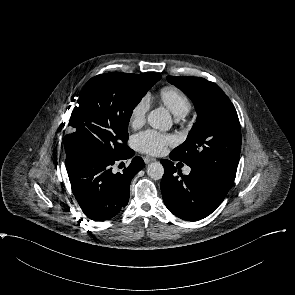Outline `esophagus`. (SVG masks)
I'll list each match as a JSON object with an SVG mask.
<instances>
[{
    "label": "esophagus",
    "mask_w": 295,
    "mask_h": 295,
    "mask_svg": "<svg viewBox=\"0 0 295 295\" xmlns=\"http://www.w3.org/2000/svg\"><path fill=\"white\" fill-rule=\"evenodd\" d=\"M143 159H144V162H145L146 164H149V163H151V162L156 161L155 158H153V157H149V156H146V157H144Z\"/></svg>",
    "instance_id": "obj_1"
}]
</instances>
